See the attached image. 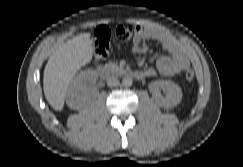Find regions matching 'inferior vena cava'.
<instances>
[{
  "instance_id": "obj_1",
  "label": "inferior vena cava",
  "mask_w": 243,
  "mask_h": 167,
  "mask_svg": "<svg viewBox=\"0 0 243 167\" xmlns=\"http://www.w3.org/2000/svg\"><path fill=\"white\" fill-rule=\"evenodd\" d=\"M107 85L109 87L118 86L119 80L116 77H110L108 78Z\"/></svg>"
}]
</instances>
